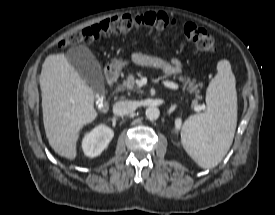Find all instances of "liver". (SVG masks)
<instances>
[{
    "mask_svg": "<svg viewBox=\"0 0 275 215\" xmlns=\"http://www.w3.org/2000/svg\"><path fill=\"white\" fill-rule=\"evenodd\" d=\"M39 83L48 142L58 155L74 160L80 130L97 117L94 91L62 53L46 58Z\"/></svg>",
    "mask_w": 275,
    "mask_h": 215,
    "instance_id": "liver-1",
    "label": "liver"
}]
</instances>
